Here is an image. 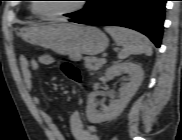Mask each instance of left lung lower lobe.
Returning a JSON list of instances; mask_svg holds the SVG:
<instances>
[{
  "instance_id": "1",
  "label": "left lung lower lobe",
  "mask_w": 182,
  "mask_h": 140,
  "mask_svg": "<svg viewBox=\"0 0 182 140\" xmlns=\"http://www.w3.org/2000/svg\"><path fill=\"white\" fill-rule=\"evenodd\" d=\"M166 0H99L87 13L72 17L71 22L122 26L145 34L160 47Z\"/></svg>"
}]
</instances>
